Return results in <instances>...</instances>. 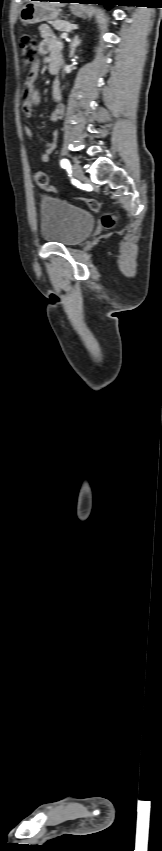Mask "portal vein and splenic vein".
Segmentation results:
<instances>
[{
	"mask_svg": "<svg viewBox=\"0 0 162 851\" xmlns=\"http://www.w3.org/2000/svg\"><path fill=\"white\" fill-rule=\"evenodd\" d=\"M67 37H68V34H67V33H63V34L61 35V38H62V39H66Z\"/></svg>",
	"mask_w": 162,
	"mask_h": 851,
	"instance_id": "obj_1",
	"label": "portal vein and splenic vein"
}]
</instances>
